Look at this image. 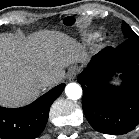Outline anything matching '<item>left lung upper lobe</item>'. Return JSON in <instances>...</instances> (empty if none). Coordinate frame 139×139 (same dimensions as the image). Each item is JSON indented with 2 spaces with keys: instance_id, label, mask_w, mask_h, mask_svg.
<instances>
[{
  "instance_id": "obj_1",
  "label": "left lung upper lobe",
  "mask_w": 139,
  "mask_h": 139,
  "mask_svg": "<svg viewBox=\"0 0 139 139\" xmlns=\"http://www.w3.org/2000/svg\"><path fill=\"white\" fill-rule=\"evenodd\" d=\"M122 31L124 36L127 38L138 37V35L130 28V26L126 22H122Z\"/></svg>"
}]
</instances>
